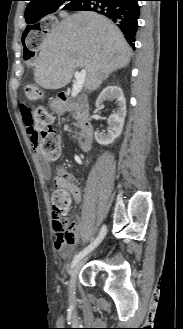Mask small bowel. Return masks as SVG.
Returning a JSON list of instances; mask_svg holds the SVG:
<instances>
[{"mask_svg": "<svg viewBox=\"0 0 183 329\" xmlns=\"http://www.w3.org/2000/svg\"><path fill=\"white\" fill-rule=\"evenodd\" d=\"M24 120L27 125L29 120V114L23 113ZM28 134L31 136V131L28 129ZM32 145L36 148V145L33 143L31 139ZM55 180L61 181L65 183V185L70 189L74 199L76 202H80L82 200V191L79 187L71 183L72 175L66 171H61V174L59 177H57ZM73 228H74V239H70L69 233L63 228L61 221L54 217L53 219V228L55 231V247L58 250L59 253L64 254V246L67 243H74L76 241V232L77 231H83V227L79 221L72 222Z\"/></svg>", "mask_w": 183, "mask_h": 329, "instance_id": "obj_1", "label": "small bowel"}]
</instances>
